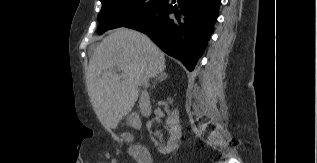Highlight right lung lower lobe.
I'll return each instance as SVG.
<instances>
[{
  "mask_svg": "<svg viewBox=\"0 0 317 163\" xmlns=\"http://www.w3.org/2000/svg\"><path fill=\"white\" fill-rule=\"evenodd\" d=\"M221 0H165L125 27L147 34L165 53L192 71L203 54Z\"/></svg>",
  "mask_w": 317,
  "mask_h": 163,
  "instance_id": "right-lung-lower-lobe-1",
  "label": "right lung lower lobe"
}]
</instances>
